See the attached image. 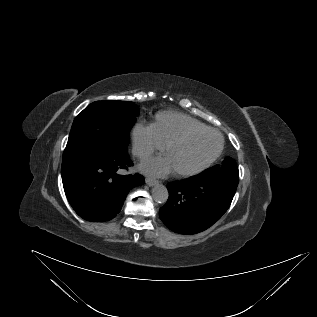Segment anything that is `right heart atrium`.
Listing matches in <instances>:
<instances>
[{"mask_svg":"<svg viewBox=\"0 0 317 317\" xmlns=\"http://www.w3.org/2000/svg\"><path fill=\"white\" fill-rule=\"evenodd\" d=\"M131 140L132 152L140 159H145L163 148V145L155 136L151 125L144 122H137L133 126Z\"/></svg>","mask_w":317,"mask_h":317,"instance_id":"d8ad5b80","label":"right heart atrium"}]
</instances>
